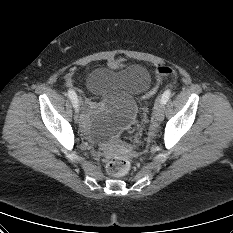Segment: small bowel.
Here are the masks:
<instances>
[{
    "instance_id": "obj_1",
    "label": "small bowel",
    "mask_w": 233,
    "mask_h": 233,
    "mask_svg": "<svg viewBox=\"0 0 233 233\" xmlns=\"http://www.w3.org/2000/svg\"><path fill=\"white\" fill-rule=\"evenodd\" d=\"M93 105L92 103H87L85 106V118L88 117V114L92 111Z\"/></svg>"
}]
</instances>
